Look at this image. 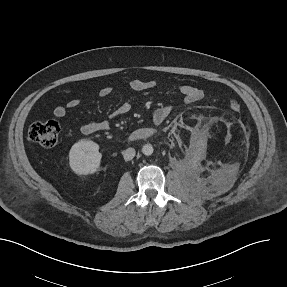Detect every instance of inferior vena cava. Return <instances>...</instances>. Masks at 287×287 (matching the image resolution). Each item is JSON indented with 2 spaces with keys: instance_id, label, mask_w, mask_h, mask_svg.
<instances>
[{
  "instance_id": "1",
  "label": "inferior vena cava",
  "mask_w": 287,
  "mask_h": 287,
  "mask_svg": "<svg viewBox=\"0 0 287 287\" xmlns=\"http://www.w3.org/2000/svg\"><path fill=\"white\" fill-rule=\"evenodd\" d=\"M136 154V151L134 148H128L123 152V157L125 161L132 160Z\"/></svg>"
}]
</instances>
